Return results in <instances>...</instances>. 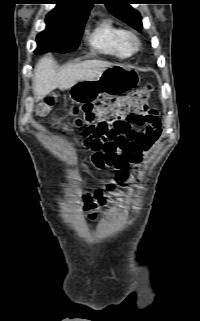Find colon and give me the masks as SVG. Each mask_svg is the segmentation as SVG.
Returning a JSON list of instances; mask_svg holds the SVG:
<instances>
[{
  "instance_id": "colon-1",
  "label": "colon",
  "mask_w": 200,
  "mask_h": 321,
  "mask_svg": "<svg viewBox=\"0 0 200 321\" xmlns=\"http://www.w3.org/2000/svg\"><path fill=\"white\" fill-rule=\"evenodd\" d=\"M150 92V87H143L123 97L103 96L95 102L74 107L71 111V115L74 117L73 124L77 126L87 124L91 128L100 123L107 125L114 124L132 115L147 113L151 110L148 106ZM55 103L56 98L54 96L45 97L37 107V114L40 116L48 114ZM93 161L98 166L103 162L102 158L96 155L93 157ZM120 175L123 176L122 173ZM85 198L87 200V209L96 207V204L91 201L90 195H87ZM95 198L99 203L103 204L104 198L101 191H96Z\"/></svg>"
}]
</instances>
